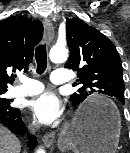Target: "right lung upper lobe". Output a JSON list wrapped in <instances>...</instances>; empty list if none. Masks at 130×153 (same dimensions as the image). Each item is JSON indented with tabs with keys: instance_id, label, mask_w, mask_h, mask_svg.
Instances as JSON below:
<instances>
[{
	"instance_id": "obj_1",
	"label": "right lung upper lobe",
	"mask_w": 130,
	"mask_h": 153,
	"mask_svg": "<svg viewBox=\"0 0 130 153\" xmlns=\"http://www.w3.org/2000/svg\"><path fill=\"white\" fill-rule=\"evenodd\" d=\"M43 25L38 20L9 17L0 21V91H7L14 81L10 70H28L34 46L41 40Z\"/></svg>"
}]
</instances>
